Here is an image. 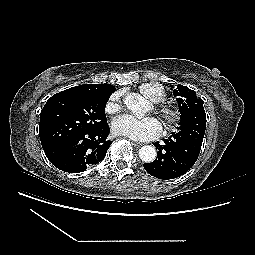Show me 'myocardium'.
<instances>
[{
  "instance_id": "obj_1",
  "label": "myocardium",
  "mask_w": 255,
  "mask_h": 255,
  "mask_svg": "<svg viewBox=\"0 0 255 255\" xmlns=\"http://www.w3.org/2000/svg\"><path fill=\"white\" fill-rule=\"evenodd\" d=\"M156 113L160 116L166 129L177 127L183 119L181 109L171 104H162L158 106L156 108Z\"/></svg>"
}]
</instances>
